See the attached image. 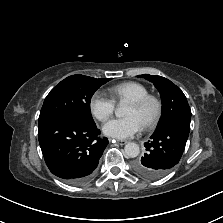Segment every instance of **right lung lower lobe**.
<instances>
[{
  "label": "right lung lower lobe",
  "instance_id": "1",
  "mask_svg": "<svg viewBox=\"0 0 223 223\" xmlns=\"http://www.w3.org/2000/svg\"><path fill=\"white\" fill-rule=\"evenodd\" d=\"M96 124L72 115L51 117L38 128L39 144L51 173L71 184L87 181L96 169L107 138Z\"/></svg>",
  "mask_w": 223,
  "mask_h": 223
}]
</instances>
